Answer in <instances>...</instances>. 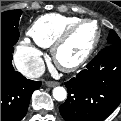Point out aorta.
Masks as SVG:
<instances>
[{
	"label": "aorta",
	"mask_w": 121,
	"mask_h": 121,
	"mask_svg": "<svg viewBox=\"0 0 121 121\" xmlns=\"http://www.w3.org/2000/svg\"><path fill=\"white\" fill-rule=\"evenodd\" d=\"M53 97L57 100V101H63L66 99L67 97V92L63 87H55L53 89Z\"/></svg>",
	"instance_id": "aorta-1"
}]
</instances>
